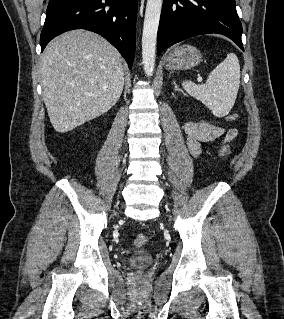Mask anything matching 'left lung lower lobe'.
<instances>
[{
    "label": "left lung lower lobe",
    "mask_w": 284,
    "mask_h": 319,
    "mask_svg": "<svg viewBox=\"0 0 284 319\" xmlns=\"http://www.w3.org/2000/svg\"><path fill=\"white\" fill-rule=\"evenodd\" d=\"M217 33L242 50V25L235 0H164L157 36L158 55L187 38Z\"/></svg>",
    "instance_id": "left-lung-lower-lobe-1"
}]
</instances>
